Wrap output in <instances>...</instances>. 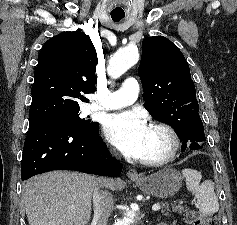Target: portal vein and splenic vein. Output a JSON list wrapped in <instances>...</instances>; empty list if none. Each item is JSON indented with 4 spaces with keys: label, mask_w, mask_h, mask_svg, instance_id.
<instances>
[{
    "label": "portal vein and splenic vein",
    "mask_w": 237,
    "mask_h": 225,
    "mask_svg": "<svg viewBox=\"0 0 237 225\" xmlns=\"http://www.w3.org/2000/svg\"><path fill=\"white\" fill-rule=\"evenodd\" d=\"M161 209V206L159 205V204H154L153 206H152V210L153 211H158V210H160Z\"/></svg>",
    "instance_id": "1"
}]
</instances>
